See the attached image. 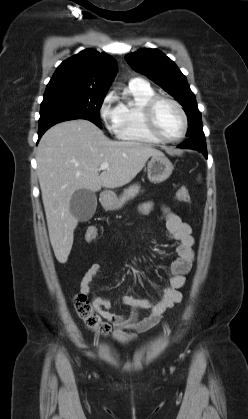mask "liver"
<instances>
[{
  "mask_svg": "<svg viewBox=\"0 0 248 419\" xmlns=\"http://www.w3.org/2000/svg\"><path fill=\"white\" fill-rule=\"evenodd\" d=\"M164 155L148 144L112 141L85 119L62 122L50 128L37 148V174L50 242L56 259L66 263L78 219L70 212L72 195L80 189L93 192L131 182L152 156ZM109 168L100 173V165Z\"/></svg>",
  "mask_w": 248,
  "mask_h": 419,
  "instance_id": "liver-1",
  "label": "liver"
}]
</instances>
